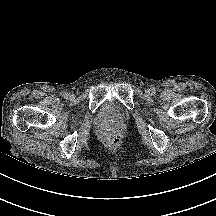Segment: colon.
I'll return each instance as SVG.
<instances>
[{"label":"colon","mask_w":216,"mask_h":216,"mask_svg":"<svg viewBox=\"0 0 216 216\" xmlns=\"http://www.w3.org/2000/svg\"><path fill=\"white\" fill-rule=\"evenodd\" d=\"M120 140H121V136L117 132L111 133L107 138V141L110 145H116L119 143Z\"/></svg>","instance_id":"5ec220e1"}]
</instances>
